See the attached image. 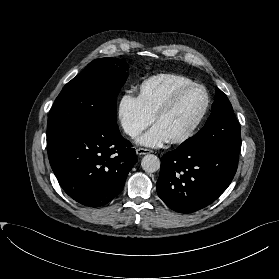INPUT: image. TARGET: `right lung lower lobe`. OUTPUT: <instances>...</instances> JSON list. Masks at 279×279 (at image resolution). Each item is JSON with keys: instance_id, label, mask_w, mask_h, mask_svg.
Returning a JSON list of instances; mask_svg holds the SVG:
<instances>
[{"instance_id": "obj_1", "label": "right lung lower lobe", "mask_w": 279, "mask_h": 279, "mask_svg": "<svg viewBox=\"0 0 279 279\" xmlns=\"http://www.w3.org/2000/svg\"><path fill=\"white\" fill-rule=\"evenodd\" d=\"M47 149L63 190L88 207L106 205L118 196L137 162L135 149L118 125L76 130L47 143Z\"/></svg>"}]
</instances>
